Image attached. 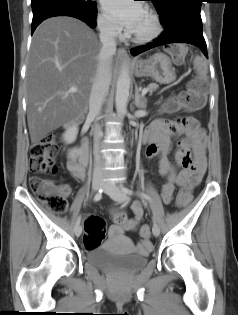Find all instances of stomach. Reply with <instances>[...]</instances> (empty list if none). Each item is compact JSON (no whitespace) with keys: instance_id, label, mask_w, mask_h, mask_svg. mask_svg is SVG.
<instances>
[{"instance_id":"stomach-1","label":"stomach","mask_w":238,"mask_h":315,"mask_svg":"<svg viewBox=\"0 0 238 315\" xmlns=\"http://www.w3.org/2000/svg\"><path fill=\"white\" fill-rule=\"evenodd\" d=\"M140 70L137 77H151L161 84H169L176 79L170 58L163 53H155L148 59L139 60Z\"/></svg>"}]
</instances>
